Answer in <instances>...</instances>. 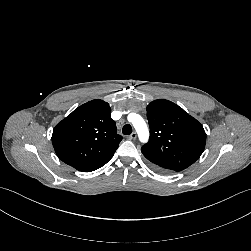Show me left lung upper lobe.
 <instances>
[{
	"instance_id": "1",
	"label": "left lung upper lobe",
	"mask_w": 251,
	"mask_h": 251,
	"mask_svg": "<svg viewBox=\"0 0 251 251\" xmlns=\"http://www.w3.org/2000/svg\"><path fill=\"white\" fill-rule=\"evenodd\" d=\"M146 110L150 138L141 151L154 167L179 172L201 156L206 133L195 118L165 99L152 101Z\"/></svg>"
}]
</instances>
